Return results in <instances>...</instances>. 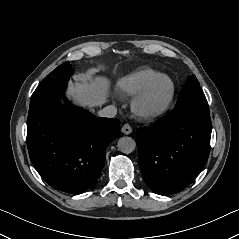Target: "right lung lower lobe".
<instances>
[{"label":"right lung lower lobe","instance_id":"right-lung-lower-lobe-1","mask_svg":"<svg viewBox=\"0 0 239 239\" xmlns=\"http://www.w3.org/2000/svg\"><path fill=\"white\" fill-rule=\"evenodd\" d=\"M66 86H54L30 101L27 147L40 176L53 188L74 194L98 179L105 151L120 136L121 127L118 119L63 107L59 97Z\"/></svg>","mask_w":239,"mask_h":239}]
</instances>
